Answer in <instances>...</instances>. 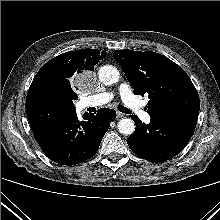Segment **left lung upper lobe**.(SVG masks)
Segmentation results:
<instances>
[{
    "mask_svg": "<svg viewBox=\"0 0 220 220\" xmlns=\"http://www.w3.org/2000/svg\"><path fill=\"white\" fill-rule=\"evenodd\" d=\"M135 94H148L150 117L167 113H199L197 90L185 71L167 57L147 51L115 50Z\"/></svg>",
    "mask_w": 220,
    "mask_h": 220,
    "instance_id": "left-lung-upper-lobe-1",
    "label": "left lung upper lobe"
}]
</instances>
